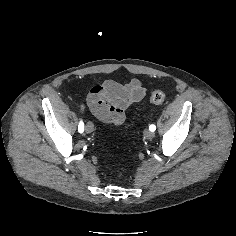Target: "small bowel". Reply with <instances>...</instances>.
Returning a JSON list of instances; mask_svg holds the SVG:
<instances>
[{
    "label": "small bowel",
    "mask_w": 236,
    "mask_h": 236,
    "mask_svg": "<svg viewBox=\"0 0 236 236\" xmlns=\"http://www.w3.org/2000/svg\"><path fill=\"white\" fill-rule=\"evenodd\" d=\"M145 95L146 88L138 79L126 84L107 80L92 87L87 96V105L102 122L120 125L129 108L140 103ZM80 110H85L84 104L80 105Z\"/></svg>",
    "instance_id": "1"
}]
</instances>
